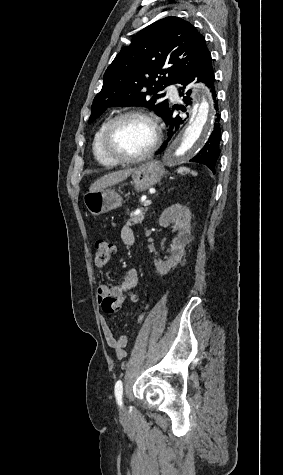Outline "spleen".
I'll return each mask as SVG.
<instances>
[{"mask_svg":"<svg viewBox=\"0 0 283 475\" xmlns=\"http://www.w3.org/2000/svg\"><path fill=\"white\" fill-rule=\"evenodd\" d=\"M177 174H181V176H185V174H192V176H197V172H192L190 168H178Z\"/></svg>","mask_w":283,"mask_h":475,"instance_id":"obj_1","label":"spleen"}]
</instances>
